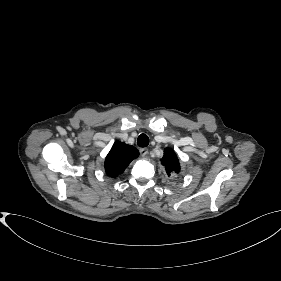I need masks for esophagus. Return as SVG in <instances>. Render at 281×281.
Wrapping results in <instances>:
<instances>
[{"label":"esophagus","instance_id":"1","mask_svg":"<svg viewBox=\"0 0 281 281\" xmlns=\"http://www.w3.org/2000/svg\"><path fill=\"white\" fill-rule=\"evenodd\" d=\"M139 152L142 157H145L148 154V149L147 148H140Z\"/></svg>","mask_w":281,"mask_h":281}]
</instances>
